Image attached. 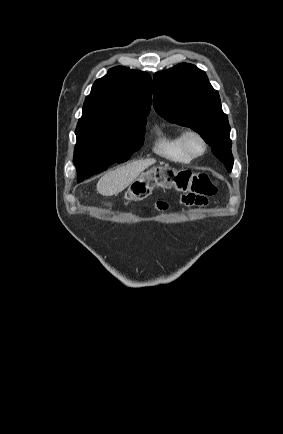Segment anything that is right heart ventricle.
I'll return each instance as SVG.
<instances>
[{
  "label": "right heart ventricle",
  "mask_w": 283,
  "mask_h": 434,
  "mask_svg": "<svg viewBox=\"0 0 283 434\" xmlns=\"http://www.w3.org/2000/svg\"><path fill=\"white\" fill-rule=\"evenodd\" d=\"M181 133L179 130L158 128L155 132L153 152L171 162L189 163L191 158L182 148Z\"/></svg>",
  "instance_id": "e07e8e85"
}]
</instances>
